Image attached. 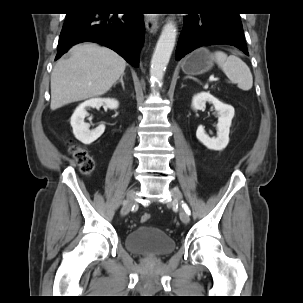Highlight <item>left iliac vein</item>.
<instances>
[{
	"mask_svg": "<svg viewBox=\"0 0 303 303\" xmlns=\"http://www.w3.org/2000/svg\"><path fill=\"white\" fill-rule=\"evenodd\" d=\"M171 193L173 197L171 204H180L183 199L181 191L177 188H173ZM180 219L185 224L189 223L190 221L189 214L184 209L180 210Z\"/></svg>",
	"mask_w": 303,
	"mask_h": 303,
	"instance_id": "4c4485c4",
	"label": "left iliac vein"
}]
</instances>
